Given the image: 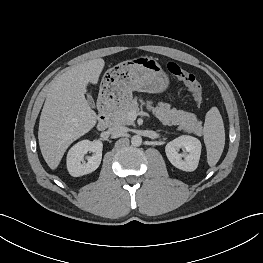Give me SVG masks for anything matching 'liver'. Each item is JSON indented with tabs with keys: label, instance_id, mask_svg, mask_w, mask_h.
Listing matches in <instances>:
<instances>
[{
	"label": "liver",
	"instance_id": "obj_1",
	"mask_svg": "<svg viewBox=\"0 0 263 263\" xmlns=\"http://www.w3.org/2000/svg\"><path fill=\"white\" fill-rule=\"evenodd\" d=\"M104 65L98 58L70 67L53 80L48 90L38 140L42 156L53 170L69 145L96 125L97 115L85 92L88 83L97 84Z\"/></svg>",
	"mask_w": 263,
	"mask_h": 263
}]
</instances>
